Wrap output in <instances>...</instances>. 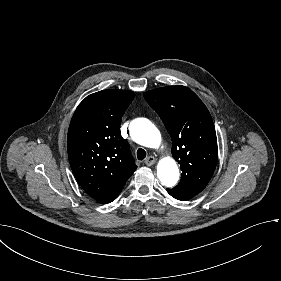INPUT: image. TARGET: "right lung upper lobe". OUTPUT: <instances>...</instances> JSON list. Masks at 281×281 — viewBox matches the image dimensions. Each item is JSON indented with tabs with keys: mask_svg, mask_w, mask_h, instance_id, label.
<instances>
[{
	"mask_svg": "<svg viewBox=\"0 0 281 281\" xmlns=\"http://www.w3.org/2000/svg\"><path fill=\"white\" fill-rule=\"evenodd\" d=\"M135 94L103 90L86 97L77 107L68 130L71 169L93 199H103L123 187L137 166L120 133L121 118Z\"/></svg>",
	"mask_w": 281,
	"mask_h": 281,
	"instance_id": "cb5924a9",
	"label": "right lung upper lobe"
}]
</instances>
